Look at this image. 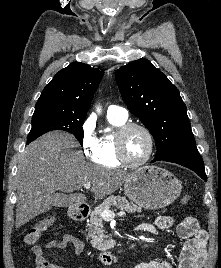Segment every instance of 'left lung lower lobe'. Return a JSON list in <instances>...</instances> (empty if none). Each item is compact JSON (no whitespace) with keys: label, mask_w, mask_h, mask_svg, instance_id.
Here are the masks:
<instances>
[{"label":"left lung lower lobe","mask_w":221,"mask_h":268,"mask_svg":"<svg viewBox=\"0 0 221 268\" xmlns=\"http://www.w3.org/2000/svg\"><path fill=\"white\" fill-rule=\"evenodd\" d=\"M162 160L185 166L196 172L204 181L207 180L203 160L200 153L197 150L196 145L187 146L179 150H176L175 152H173L168 157ZM155 161L158 160H152V162Z\"/></svg>","instance_id":"0a47b994"}]
</instances>
